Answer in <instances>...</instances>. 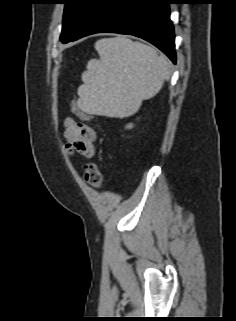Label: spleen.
Masks as SVG:
<instances>
[{"mask_svg": "<svg viewBox=\"0 0 236 321\" xmlns=\"http://www.w3.org/2000/svg\"><path fill=\"white\" fill-rule=\"evenodd\" d=\"M95 48L100 60L88 62L78 88V106L86 113L132 115L170 78L169 60L148 45L115 37L98 40Z\"/></svg>", "mask_w": 236, "mask_h": 321, "instance_id": "3e777b00", "label": "spleen"}]
</instances>
